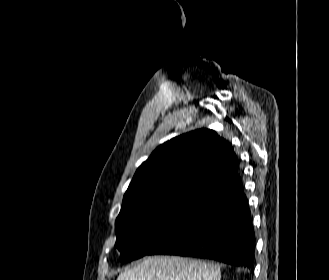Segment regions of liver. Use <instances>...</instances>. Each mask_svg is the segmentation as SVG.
I'll return each instance as SVG.
<instances>
[{
    "label": "liver",
    "instance_id": "6515ba94",
    "mask_svg": "<svg viewBox=\"0 0 329 280\" xmlns=\"http://www.w3.org/2000/svg\"><path fill=\"white\" fill-rule=\"evenodd\" d=\"M117 280H221L220 265L179 256H150Z\"/></svg>",
    "mask_w": 329,
    "mask_h": 280
}]
</instances>
